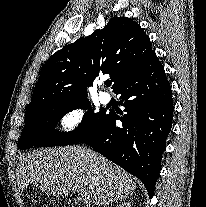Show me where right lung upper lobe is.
<instances>
[{
	"label": "right lung upper lobe",
	"instance_id": "right-lung-upper-lobe-1",
	"mask_svg": "<svg viewBox=\"0 0 206 207\" xmlns=\"http://www.w3.org/2000/svg\"><path fill=\"white\" fill-rule=\"evenodd\" d=\"M155 55L140 25L130 18L114 17L104 28L52 55L41 70L26 112L47 103L87 98L85 86L99 72L110 75L116 91Z\"/></svg>",
	"mask_w": 206,
	"mask_h": 207
}]
</instances>
